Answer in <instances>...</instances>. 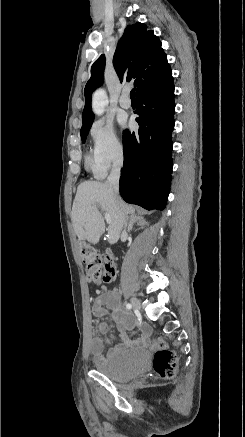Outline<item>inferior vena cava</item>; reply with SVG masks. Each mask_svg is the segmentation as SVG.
Wrapping results in <instances>:
<instances>
[{
    "instance_id": "obj_1",
    "label": "inferior vena cava",
    "mask_w": 245,
    "mask_h": 437,
    "mask_svg": "<svg viewBox=\"0 0 245 437\" xmlns=\"http://www.w3.org/2000/svg\"><path fill=\"white\" fill-rule=\"evenodd\" d=\"M122 165H123V154L120 153L113 161L112 169L107 179V182L112 187L115 195H118L119 192V178H120V171ZM123 226L126 227V221H124Z\"/></svg>"
}]
</instances>
